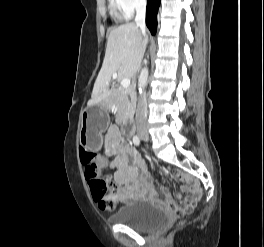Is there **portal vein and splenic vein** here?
Returning <instances> with one entry per match:
<instances>
[{"label": "portal vein and splenic vein", "instance_id": "1", "mask_svg": "<svg viewBox=\"0 0 264 247\" xmlns=\"http://www.w3.org/2000/svg\"><path fill=\"white\" fill-rule=\"evenodd\" d=\"M113 77H116V74L113 75ZM130 85V79L125 78L121 81L122 88H127Z\"/></svg>", "mask_w": 264, "mask_h": 247}]
</instances>
